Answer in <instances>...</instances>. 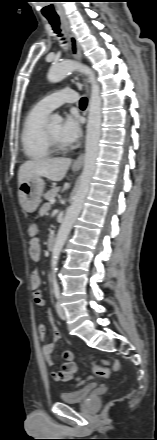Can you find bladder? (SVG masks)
Segmentation results:
<instances>
[{"instance_id": "31cf9c89", "label": "bladder", "mask_w": 157, "mask_h": 440, "mask_svg": "<svg viewBox=\"0 0 157 440\" xmlns=\"http://www.w3.org/2000/svg\"><path fill=\"white\" fill-rule=\"evenodd\" d=\"M95 388V385H88L73 392H61L59 399L67 404L83 403L94 393Z\"/></svg>"}]
</instances>
